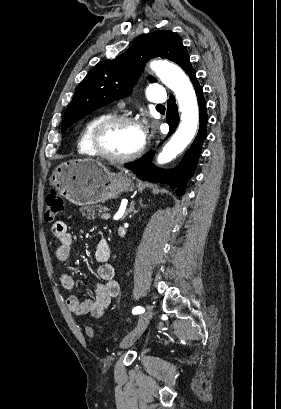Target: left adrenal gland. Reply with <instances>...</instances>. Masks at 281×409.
<instances>
[{
    "label": "left adrenal gland",
    "instance_id": "obj_1",
    "mask_svg": "<svg viewBox=\"0 0 281 409\" xmlns=\"http://www.w3.org/2000/svg\"><path fill=\"white\" fill-rule=\"evenodd\" d=\"M134 207H135V200H131L130 205H129V209H127L126 213H124L122 219H125V217H127L128 213H133Z\"/></svg>",
    "mask_w": 281,
    "mask_h": 409
}]
</instances>
